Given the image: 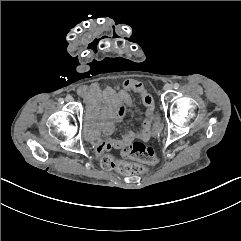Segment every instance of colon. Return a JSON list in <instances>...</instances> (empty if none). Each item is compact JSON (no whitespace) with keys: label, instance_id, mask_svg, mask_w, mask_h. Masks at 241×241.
<instances>
[{"label":"colon","instance_id":"5ec220e1","mask_svg":"<svg viewBox=\"0 0 241 241\" xmlns=\"http://www.w3.org/2000/svg\"><path fill=\"white\" fill-rule=\"evenodd\" d=\"M154 133L159 134L160 133V125L156 124L154 128ZM103 154V153H102ZM124 155L128 158L132 159H141L144 162L150 163V164H155L159 161V156L155 152V150L144 143L141 142H135L131 145H128L124 149ZM102 159L100 162V165L103 167L104 172H109L110 169L114 170H120L121 172H134L138 174H143L146 172V167L143 165H129L125 162H117L115 159H113L110 155L103 154L101 155Z\"/></svg>","mask_w":241,"mask_h":241}]
</instances>
